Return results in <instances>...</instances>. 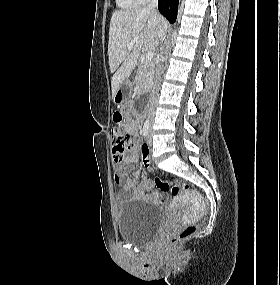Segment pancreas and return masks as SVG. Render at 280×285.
Returning <instances> with one entry per match:
<instances>
[{
    "label": "pancreas",
    "mask_w": 280,
    "mask_h": 285,
    "mask_svg": "<svg viewBox=\"0 0 280 285\" xmlns=\"http://www.w3.org/2000/svg\"><path fill=\"white\" fill-rule=\"evenodd\" d=\"M155 65L153 62L141 61L135 77L136 91L145 93L150 90L154 77Z\"/></svg>",
    "instance_id": "obj_1"
}]
</instances>
